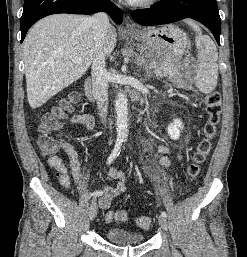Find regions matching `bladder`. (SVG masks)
I'll list each match as a JSON object with an SVG mask.
<instances>
[{
    "label": "bladder",
    "mask_w": 247,
    "mask_h": 257,
    "mask_svg": "<svg viewBox=\"0 0 247 257\" xmlns=\"http://www.w3.org/2000/svg\"><path fill=\"white\" fill-rule=\"evenodd\" d=\"M105 238L115 245H137L146 240L142 233L133 232L124 228L113 227L105 231Z\"/></svg>",
    "instance_id": "31cf9c89"
}]
</instances>
